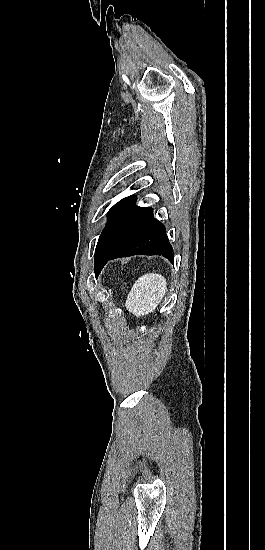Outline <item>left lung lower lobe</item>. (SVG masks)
<instances>
[{"label":"left lung lower lobe","instance_id":"0a47b994","mask_svg":"<svg viewBox=\"0 0 265 550\" xmlns=\"http://www.w3.org/2000/svg\"><path fill=\"white\" fill-rule=\"evenodd\" d=\"M137 254L162 255L174 263L173 250L166 235V229L154 218L153 210L112 251L103 256L95 255L96 277L109 260Z\"/></svg>","mask_w":265,"mask_h":550}]
</instances>
